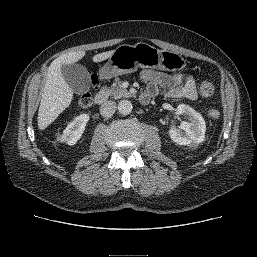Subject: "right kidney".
<instances>
[{"mask_svg":"<svg viewBox=\"0 0 257 257\" xmlns=\"http://www.w3.org/2000/svg\"><path fill=\"white\" fill-rule=\"evenodd\" d=\"M88 121V114H80L67 125L63 134L58 137V140L68 145L76 144V142L81 138Z\"/></svg>","mask_w":257,"mask_h":257,"instance_id":"1","label":"right kidney"}]
</instances>
